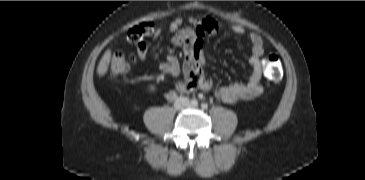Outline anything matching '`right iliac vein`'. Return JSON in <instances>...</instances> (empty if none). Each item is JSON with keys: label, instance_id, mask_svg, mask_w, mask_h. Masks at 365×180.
Listing matches in <instances>:
<instances>
[{"label": "right iliac vein", "instance_id": "63e3f726", "mask_svg": "<svg viewBox=\"0 0 365 180\" xmlns=\"http://www.w3.org/2000/svg\"><path fill=\"white\" fill-rule=\"evenodd\" d=\"M187 104V101L185 99H179L177 102H176V107L177 108H182L184 105Z\"/></svg>", "mask_w": 365, "mask_h": 180}]
</instances>
